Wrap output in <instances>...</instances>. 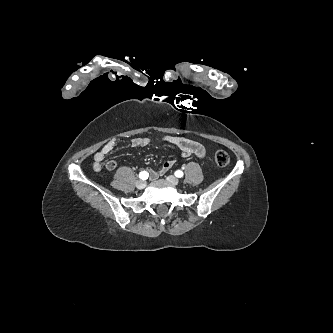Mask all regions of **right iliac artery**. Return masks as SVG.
Here are the masks:
<instances>
[{"instance_id":"82829eb1","label":"right iliac artery","mask_w":333,"mask_h":333,"mask_svg":"<svg viewBox=\"0 0 333 333\" xmlns=\"http://www.w3.org/2000/svg\"><path fill=\"white\" fill-rule=\"evenodd\" d=\"M148 176H149V173H148L147 171H142V172H140V174H139V177H140V179H142V180H146V179L148 178Z\"/></svg>"}]
</instances>
